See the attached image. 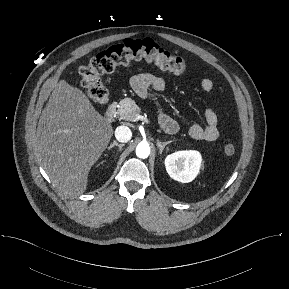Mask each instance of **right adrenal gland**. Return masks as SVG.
<instances>
[{
	"instance_id": "2a0ac1e0",
	"label": "right adrenal gland",
	"mask_w": 289,
	"mask_h": 289,
	"mask_svg": "<svg viewBox=\"0 0 289 289\" xmlns=\"http://www.w3.org/2000/svg\"><path fill=\"white\" fill-rule=\"evenodd\" d=\"M115 146L119 147V151H121L124 144H119L118 142L114 141L112 144H110V146L108 147V150H111Z\"/></svg>"
}]
</instances>
